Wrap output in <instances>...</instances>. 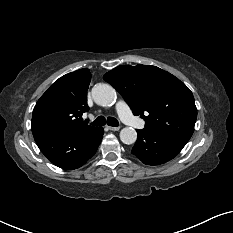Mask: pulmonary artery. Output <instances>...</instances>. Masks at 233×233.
Here are the masks:
<instances>
[{"instance_id":"pulmonary-artery-1","label":"pulmonary artery","mask_w":233,"mask_h":233,"mask_svg":"<svg viewBox=\"0 0 233 233\" xmlns=\"http://www.w3.org/2000/svg\"><path fill=\"white\" fill-rule=\"evenodd\" d=\"M116 110H117V113H118L119 117L121 118V120L124 123H126L127 125H129L133 128H143L144 127V125H145L144 121L135 117L132 114V112H131V110L126 102L119 101L116 104Z\"/></svg>"}]
</instances>
